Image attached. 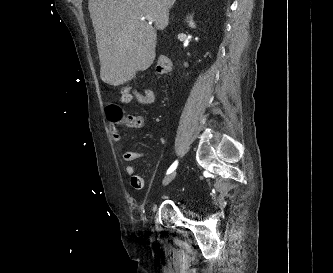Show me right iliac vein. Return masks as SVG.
Returning <instances> with one entry per match:
<instances>
[{"instance_id":"63e3f726","label":"right iliac vein","mask_w":333,"mask_h":273,"mask_svg":"<svg viewBox=\"0 0 333 273\" xmlns=\"http://www.w3.org/2000/svg\"><path fill=\"white\" fill-rule=\"evenodd\" d=\"M176 177V172H171L170 174H168L164 179H163V182H162V185L163 186H166L168 185L169 183H171L174 178Z\"/></svg>"}]
</instances>
